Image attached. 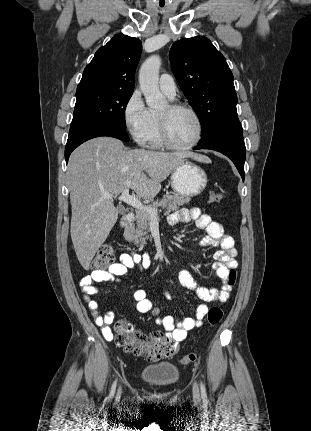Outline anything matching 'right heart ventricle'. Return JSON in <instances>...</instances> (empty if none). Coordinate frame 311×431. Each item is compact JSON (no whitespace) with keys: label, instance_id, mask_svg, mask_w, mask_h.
<instances>
[{"label":"right heart ventricle","instance_id":"right-heart-ventricle-1","mask_svg":"<svg viewBox=\"0 0 311 431\" xmlns=\"http://www.w3.org/2000/svg\"><path fill=\"white\" fill-rule=\"evenodd\" d=\"M145 136L152 147H161L163 145L159 137L158 114L152 111H150L149 123Z\"/></svg>","mask_w":311,"mask_h":431}]
</instances>
